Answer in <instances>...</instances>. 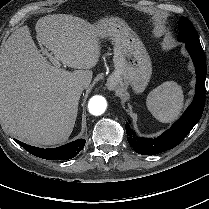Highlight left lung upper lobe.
I'll use <instances>...</instances> for the list:
<instances>
[{
  "instance_id": "1",
  "label": "left lung upper lobe",
  "mask_w": 209,
  "mask_h": 209,
  "mask_svg": "<svg viewBox=\"0 0 209 209\" xmlns=\"http://www.w3.org/2000/svg\"><path fill=\"white\" fill-rule=\"evenodd\" d=\"M180 42H196L199 41L197 32L192 22L186 17H182L179 22V34L177 37Z\"/></svg>"
}]
</instances>
